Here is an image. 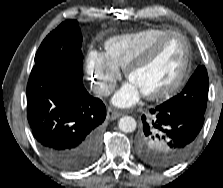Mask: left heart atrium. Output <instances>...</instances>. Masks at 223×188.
Returning <instances> with one entry per match:
<instances>
[{"label": "left heart atrium", "instance_id": "39dd6f15", "mask_svg": "<svg viewBox=\"0 0 223 188\" xmlns=\"http://www.w3.org/2000/svg\"><path fill=\"white\" fill-rule=\"evenodd\" d=\"M141 95V91L129 82L115 94L113 103L119 107H130L138 102Z\"/></svg>", "mask_w": 223, "mask_h": 188}]
</instances>
